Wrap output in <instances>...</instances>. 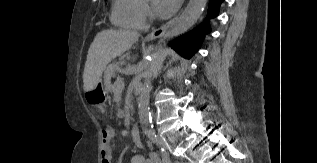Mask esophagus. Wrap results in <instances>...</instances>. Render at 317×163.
Wrapping results in <instances>:
<instances>
[{
  "mask_svg": "<svg viewBox=\"0 0 317 163\" xmlns=\"http://www.w3.org/2000/svg\"><path fill=\"white\" fill-rule=\"evenodd\" d=\"M176 19H177V17L171 19L170 21L163 24L159 28H156L153 31H151L149 34H147V36L145 37V40L146 41H153L157 38H160L166 32V30L176 21Z\"/></svg>",
  "mask_w": 317,
  "mask_h": 163,
  "instance_id": "obj_1",
  "label": "esophagus"
}]
</instances>
